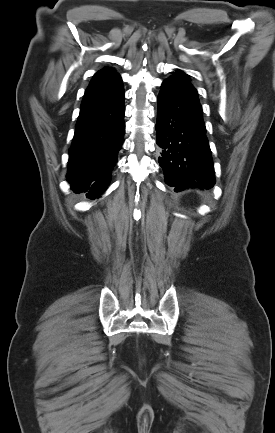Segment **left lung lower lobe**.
I'll return each mask as SVG.
<instances>
[{
	"instance_id": "1",
	"label": "left lung lower lobe",
	"mask_w": 275,
	"mask_h": 433,
	"mask_svg": "<svg viewBox=\"0 0 275 433\" xmlns=\"http://www.w3.org/2000/svg\"><path fill=\"white\" fill-rule=\"evenodd\" d=\"M161 87L156 142L165 182L176 192L210 189L215 184L214 166L197 91L189 81L175 77Z\"/></svg>"
}]
</instances>
